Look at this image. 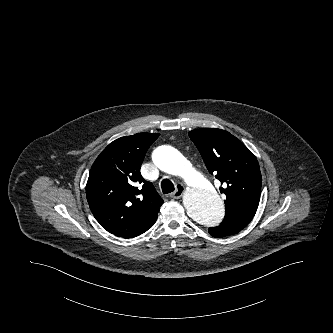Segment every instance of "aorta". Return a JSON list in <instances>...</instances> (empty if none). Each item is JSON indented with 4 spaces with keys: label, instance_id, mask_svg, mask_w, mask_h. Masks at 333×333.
I'll use <instances>...</instances> for the list:
<instances>
[{
    "label": "aorta",
    "instance_id": "762f6f07",
    "mask_svg": "<svg viewBox=\"0 0 333 333\" xmlns=\"http://www.w3.org/2000/svg\"><path fill=\"white\" fill-rule=\"evenodd\" d=\"M153 163L166 173L184 178L187 188L183 205L193 220L204 227H214L222 221L224 206L220 196L177 149L167 145L158 147L153 153Z\"/></svg>",
    "mask_w": 333,
    "mask_h": 333
}]
</instances>
